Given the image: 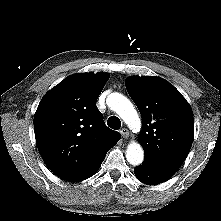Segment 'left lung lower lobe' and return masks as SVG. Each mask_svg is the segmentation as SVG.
<instances>
[{"label": "left lung lower lobe", "mask_w": 221, "mask_h": 221, "mask_svg": "<svg viewBox=\"0 0 221 221\" xmlns=\"http://www.w3.org/2000/svg\"><path fill=\"white\" fill-rule=\"evenodd\" d=\"M134 173L139 181L148 185L160 184L175 174L173 171L157 167L145 161L134 168Z\"/></svg>", "instance_id": "obj_1"}]
</instances>
